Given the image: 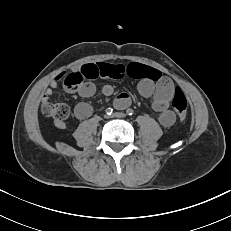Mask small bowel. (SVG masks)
I'll use <instances>...</instances> for the list:
<instances>
[{"label":"small bowel","mask_w":231,"mask_h":231,"mask_svg":"<svg viewBox=\"0 0 231 231\" xmlns=\"http://www.w3.org/2000/svg\"><path fill=\"white\" fill-rule=\"evenodd\" d=\"M150 69L159 73V79L154 80L151 78L149 74ZM78 72L87 80L78 88V94L84 98L90 97L95 93V85L92 82L94 79H119L126 75L138 79V91L141 96L152 98V107L157 113L160 124L164 127H170L174 124L176 118L174 113L169 109V103L174 95L175 86L168 77L162 75L158 70L140 63H130L124 66L122 64L99 62L82 65ZM65 77L66 73L61 72L51 79L42 95V101L49 100L54 90L58 87L59 82ZM112 93L113 88L110 85H105L102 88L103 95L110 96ZM130 102V96L127 93H121L115 99V106L122 109L127 107ZM92 113V106L85 102L79 103L74 109L75 117L79 120L87 119ZM55 124L60 129L66 128L65 123L62 121H56Z\"/></svg>","instance_id":"small-bowel-1"}]
</instances>
